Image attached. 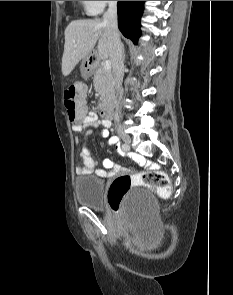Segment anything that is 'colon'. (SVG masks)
Listing matches in <instances>:
<instances>
[{
  "mask_svg": "<svg viewBox=\"0 0 233 295\" xmlns=\"http://www.w3.org/2000/svg\"><path fill=\"white\" fill-rule=\"evenodd\" d=\"M86 88L82 83H75L64 91V106L72 122L80 121L85 113ZM137 186H149L161 196H168L170 184L166 174L160 171H145L137 175H122L114 179L108 191V203L117 211L123 205L130 191Z\"/></svg>",
  "mask_w": 233,
  "mask_h": 295,
  "instance_id": "5ec220e1",
  "label": "colon"
}]
</instances>
